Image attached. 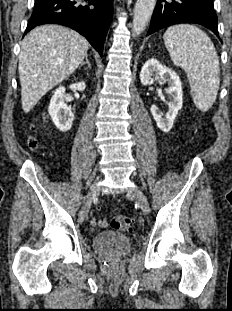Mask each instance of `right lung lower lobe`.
Returning <instances> with one entry per match:
<instances>
[{
  "instance_id": "1",
  "label": "right lung lower lobe",
  "mask_w": 232,
  "mask_h": 311,
  "mask_svg": "<svg viewBox=\"0 0 232 311\" xmlns=\"http://www.w3.org/2000/svg\"><path fill=\"white\" fill-rule=\"evenodd\" d=\"M35 0L25 34L42 24H61L82 34L102 56L107 31L113 17V0Z\"/></svg>"
}]
</instances>
